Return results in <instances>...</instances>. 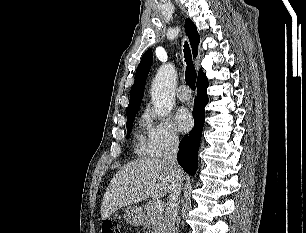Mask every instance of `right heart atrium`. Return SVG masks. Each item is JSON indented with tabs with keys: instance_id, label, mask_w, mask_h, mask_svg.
<instances>
[{
	"instance_id": "d8ad5b80",
	"label": "right heart atrium",
	"mask_w": 306,
	"mask_h": 233,
	"mask_svg": "<svg viewBox=\"0 0 306 233\" xmlns=\"http://www.w3.org/2000/svg\"><path fill=\"white\" fill-rule=\"evenodd\" d=\"M146 133L148 154L152 157H161L179 145V133L168 117H158L152 112L146 114Z\"/></svg>"
}]
</instances>
